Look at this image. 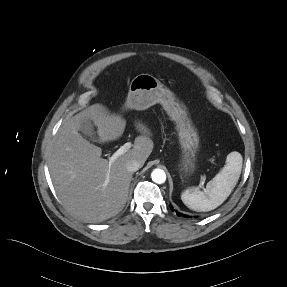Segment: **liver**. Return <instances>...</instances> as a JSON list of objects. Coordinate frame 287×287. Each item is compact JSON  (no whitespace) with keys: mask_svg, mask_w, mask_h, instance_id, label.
Masks as SVG:
<instances>
[{"mask_svg":"<svg viewBox=\"0 0 287 287\" xmlns=\"http://www.w3.org/2000/svg\"><path fill=\"white\" fill-rule=\"evenodd\" d=\"M84 118L94 122L100 142L117 140L126 126L125 119L110 114L100 104L64 120L52 144L48 167L64 207L84 222L99 223L125 206L132 179L126 163L136 160L143 166L153 150V141L149 129L136 123L141 135L135 139L133 148L109 165L107 159L101 158V148L78 132Z\"/></svg>","mask_w":287,"mask_h":287,"instance_id":"6515ba94","label":"liver"}]
</instances>
